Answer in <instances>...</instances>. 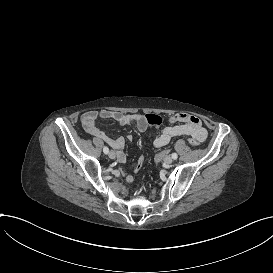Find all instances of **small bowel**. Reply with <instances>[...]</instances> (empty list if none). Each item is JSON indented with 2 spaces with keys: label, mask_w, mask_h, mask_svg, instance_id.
<instances>
[{
  "label": "small bowel",
  "mask_w": 273,
  "mask_h": 273,
  "mask_svg": "<svg viewBox=\"0 0 273 273\" xmlns=\"http://www.w3.org/2000/svg\"><path fill=\"white\" fill-rule=\"evenodd\" d=\"M99 119L111 120L119 125H134L138 131L144 132L148 129L149 125L145 120V116L141 113H123L113 110L91 111L82 115L81 123L84 130L95 137L98 140L105 142L111 148L117 151V159L120 163H125L127 156L123 151L126 141H131L132 136L127 138L123 137H111L105 131L97 126ZM171 125L165 127L161 133L154 140L155 148H162L170 143V141L176 137L186 136L193 145H199L202 143L208 135L206 128L203 126L202 121L196 116L186 113H177L169 119ZM170 152L164 150L163 152L155 153L153 158L155 160L168 157ZM158 162V161H157ZM158 165V163H157ZM158 167V166H157ZM121 172L126 176L125 185L130 187L132 185L133 175L128 174L125 168L121 169ZM157 172V171H156Z\"/></svg>",
  "instance_id": "1"
}]
</instances>
